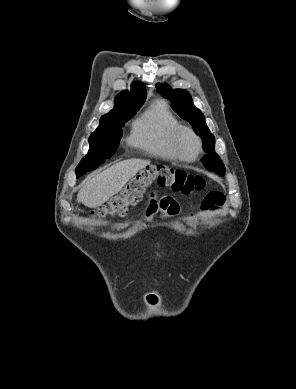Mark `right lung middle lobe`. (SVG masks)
I'll return each mask as SVG.
<instances>
[{
	"mask_svg": "<svg viewBox=\"0 0 296 389\" xmlns=\"http://www.w3.org/2000/svg\"><path fill=\"white\" fill-rule=\"evenodd\" d=\"M138 108L129 109L119 114L100 119L98 128L90 135V149L88 154L81 160L78 167L86 165H100L111 157L117 150L122 137L121 127L132 118Z\"/></svg>",
	"mask_w": 296,
	"mask_h": 389,
	"instance_id": "dd1d6c3e",
	"label": "right lung middle lobe"
}]
</instances>
